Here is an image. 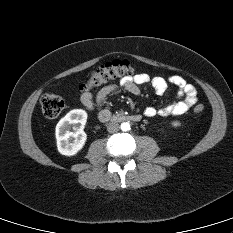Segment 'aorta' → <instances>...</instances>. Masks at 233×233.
<instances>
[{
	"label": "aorta",
	"instance_id": "762f6f07",
	"mask_svg": "<svg viewBox=\"0 0 233 233\" xmlns=\"http://www.w3.org/2000/svg\"><path fill=\"white\" fill-rule=\"evenodd\" d=\"M120 127H121L122 131H129L130 130V124L128 122H123Z\"/></svg>",
	"mask_w": 233,
	"mask_h": 233
}]
</instances>
